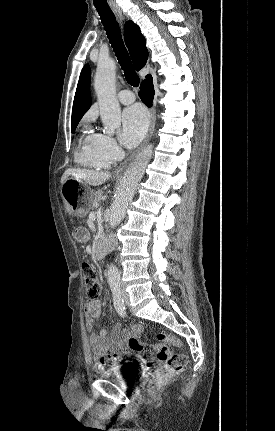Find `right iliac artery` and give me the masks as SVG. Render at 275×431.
<instances>
[{
    "label": "right iliac artery",
    "mask_w": 275,
    "mask_h": 431,
    "mask_svg": "<svg viewBox=\"0 0 275 431\" xmlns=\"http://www.w3.org/2000/svg\"><path fill=\"white\" fill-rule=\"evenodd\" d=\"M111 290H112V294H113L114 307H115L116 311L118 312V314L120 316L124 317L126 315V312H125L124 301L121 297L120 285L118 283H113L111 285Z\"/></svg>",
    "instance_id": "right-iliac-artery-1"
}]
</instances>
